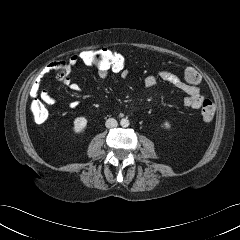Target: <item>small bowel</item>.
<instances>
[{
  "mask_svg": "<svg viewBox=\"0 0 240 240\" xmlns=\"http://www.w3.org/2000/svg\"><path fill=\"white\" fill-rule=\"evenodd\" d=\"M78 64V60L75 55L69 56L67 58L59 59L50 64L49 68L57 72V82L67 86L72 91L79 92L80 86L78 83L74 82L71 78V71L74 66ZM113 72L109 69L97 67V74L100 79H106L110 73ZM115 73V72H114ZM122 78H127L129 75L128 70H124L118 73ZM159 77L172 85L173 87L179 89L185 94L183 100V105L191 109H199L202 107L203 102L206 100L197 85H190L182 81L179 76L169 70L159 71ZM144 84L147 88H152L157 84V78L154 75H148L144 79ZM40 98L48 105H55L56 100L52 96L49 89H43L39 91V84L36 83L31 89V96ZM78 106L77 101H71L69 103L70 108H75Z\"/></svg>",
  "mask_w": 240,
  "mask_h": 240,
  "instance_id": "small-bowel-1",
  "label": "small bowel"
}]
</instances>
